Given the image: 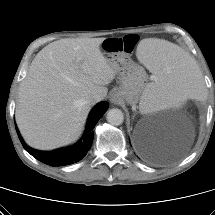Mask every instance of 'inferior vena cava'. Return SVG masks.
I'll return each mask as SVG.
<instances>
[{
    "label": "inferior vena cava",
    "mask_w": 215,
    "mask_h": 215,
    "mask_svg": "<svg viewBox=\"0 0 215 215\" xmlns=\"http://www.w3.org/2000/svg\"><path fill=\"white\" fill-rule=\"evenodd\" d=\"M103 99H104V95H102V94H95V95H93L91 97L90 102H91V104H95V103H97V102H99V101H101Z\"/></svg>",
    "instance_id": "1"
}]
</instances>
